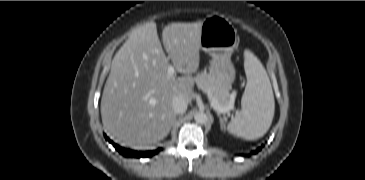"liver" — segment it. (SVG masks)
Here are the masks:
<instances>
[{
    "label": "liver",
    "instance_id": "1",
    "mask_svg": "<svg viewBox=\"0 0 365 180\" xmlns=\"http://www.w3.org/2000/svg\"><path fill=\"white\" fill-rule=\"evenodd\" d=\"M201 25L202 21L167 25L162 40L168 56L154 22L131 31L112 60L101 99L102 123L111 138L146 147L168 135L176 119L172 99L181 96L189 104L193 98ZM169 60L185 76H169Z\"/></svg>",
    "mask_w": 365,
    "mask_h": 180
}]
</instances>
